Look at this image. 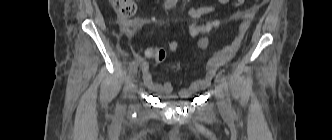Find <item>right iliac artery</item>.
Masks as SVG:
<instances>
[{"mask_svg":"<svg viewBox=\"0 0 332 140\" xmlns=\"http://www.w3.org/2000/svg\"><path fill=\"white\" fill-rule=\"evenodd\" d=\"M178 0H166L165 4H164V8L165 9H170L172 8L176 3H177ZM142 60L141 57H137L130 65V69L136 67L140 61Z\"/></svg>","mask_w":332,"mask_h":140,"instance_id":"1","label":"right iliac artery"}]
</instances>
